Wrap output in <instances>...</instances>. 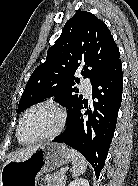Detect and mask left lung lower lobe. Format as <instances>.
<instances>
[{
  "label": "left lung lower lobe",
  "mask_w": 138,
  "mask_h": 186,
  "mask_svg": "<svg viewBox=\"0 0 138 186\" xmlns=\"http://www.w3.org/2000/svg\"><path fill=\"white\" fill-rule=\"evenodd\" d=\"M123 88L119 59L92 82V104L81 100L72 108L65 132L53 142L65 143L79 151L93 166L98 178L104 167L116 127ZM85 113H81V109Z\"/></svg>",
  "instance_id": "0a47b994"
}]
</instances>
